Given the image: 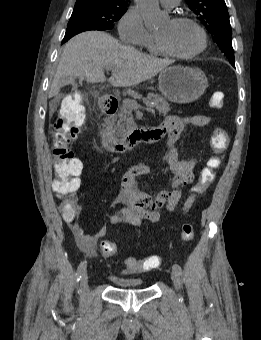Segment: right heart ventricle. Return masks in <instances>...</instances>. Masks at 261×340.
<instances>
[{"label": "right heart ventricle", "instance_id": "e07e8e85", "mask_svg": "<svg viewBox=\"0 0 261 340\" xmlns=\"http://www.w3.org/2000/svg\"><path fill=\"white\" fill-rule=\"evenodd\" d=\"M142 47L152 55H163V51L160 49L155 35L151 34L150 37L145 41Z\"/></svg>", "mask_w": 261, "mask_h": 340}]
</instances>
